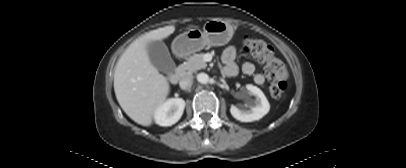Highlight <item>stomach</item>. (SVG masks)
I'll return each mask as SVG.
<instances>
[{
    "instance_id": "0dacf381",
    "label": "stomach",
    "mask_w": 406,
    "mask_h": 168,
    "mask_svg": "<svg viewBox=\"0 0 406 168\" xmlns=\"http://www.w3.org/2000/svg\"><path fill=\"white\" fill-rule=\"evenodd\" d=\"M233 36L231 24L222 20L207 21L200 29H190L180 34L172 43V50L179 57H186L202 50L205 46H222Z\"/></svg>"
}]
</instances>
